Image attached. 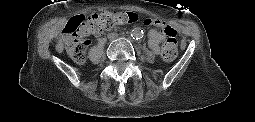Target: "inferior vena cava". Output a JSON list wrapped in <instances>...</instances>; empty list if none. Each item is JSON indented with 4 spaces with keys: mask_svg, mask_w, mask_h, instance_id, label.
<instances>
[{
    "mask_svg": "<svg viewBox=\"0 0 255 122\" xmlns=\"http://www.w3.org/2000/svg\"><path fill=\"white\" fill-rule=\"evenodd\" d=\"M108 38H109L110 40H114V39L118 38V34L115 33V32L109 33V34H108Z\"/></svg>",
    "mask_w": 255,
    "mask_h": 122,
    "instance_id": "inferior-vena-cava-1",
    "label": "inferior vena cava"
}]
</instances>
